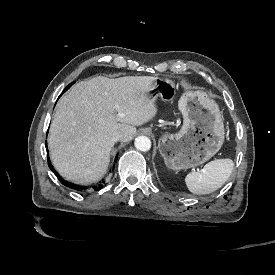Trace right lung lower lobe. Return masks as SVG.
I'll return each mask as SVG.
<instances>
[{
  "instance_id": "98d812e1",
  "label": "right lung lower lobe",
  "mask_w": 275,
  "mask_h": 275,
  "mask_svg": "<svg viewBox=\"0 0 275 275\" xmlns=\"http://www.w3.org/2000/svg\"><path fill=\"white\" fill-rule=\"evenodd\" d=\"M48 165H49L50 169H51L52 171H54V169H53V167H52V165H51V163H50V159H49V158H48ZM54 172H55V171H54ZM56 175H57V177L59 178L60 182H61L63 185H65V186H67V187H69V188L78 190V191H82V190L84 189L83 186L76 185V184L70 183V182H68V181H65V180H63L62 177H60L57 173H56ZM93 188L96 189V190H100V189H101V185H99L98 187H97V186H96V187H93Z\"/></svg>"
}]
</instances>
